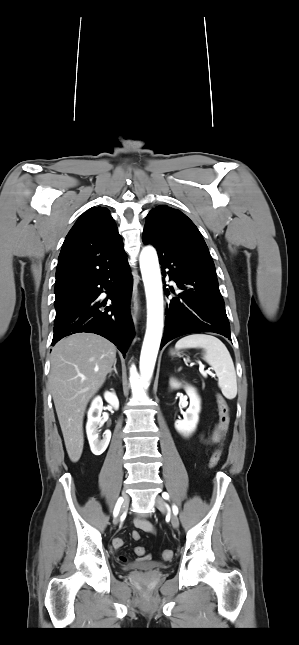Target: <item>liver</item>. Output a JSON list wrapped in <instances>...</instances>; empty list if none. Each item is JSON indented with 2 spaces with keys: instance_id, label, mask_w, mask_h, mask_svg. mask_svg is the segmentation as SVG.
I'll list each match as a JSON object with an SVG mask.
<instances>
[{
  "instance_id": "obj_1",
  "label": "liver",
  "mask_w": 299,
  "mask_h": 645,
  "mask_svg": "<svg viewBox=\"0 0 299 645\" xmlns=\"http://www.w3.org/2000/svg\"><path fill=\"white\" fill-rule=\"evenodd\" d=\"M49 384L68 456L77 462L84 445L83 418L89 400L116 361V347L92 333L60 340L51 352Z\"/></svg>"
}]
</instances>
